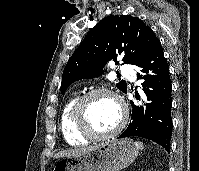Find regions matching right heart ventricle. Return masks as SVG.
Returning a JSON list of instances; mask_svg holds the SVG:
<instances>
[{
  "label": "right heart ventricle",
  "instance_id": "right-heart-ventricle-1",
  "mask_svg": "<svg viewBox=\"0 0 199 171\" xmlns=\"http://www.w3.org/2000/svg\"><path fill=\"white\" fill-rule=\"evenodd\" d=\"M78 95H72L64 104L60 115V130L65 141L72 146L85 144L88 138L80 135L74 126L73 108Z\"/></svg>",
  "mask_w": 199,
  "mask_h": 171
}]
</instances>
